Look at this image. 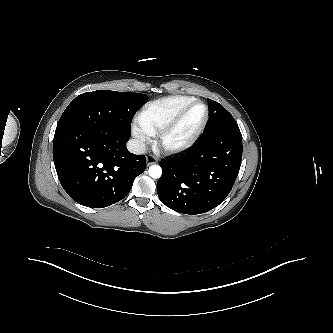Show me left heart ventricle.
I'll return each mask as SVG.
<instances>
[{"label":"left heart ventricle","instance_id":"obj_1","mask_svg":"<svg viewBox=\"0 0 333 333\" xmlns=\"http://www.w3.org/2000/svg\"><path fill=\"white\" fill-rule=\"evenodd\" d=\"M205 114L204 107L202 105H196L193 107L180 126L177 128V130L174 132V134L171 137V140L176 142L184 139L187 137L201 122Z\"/></svg>","mask_w":333,"mask_h":333}]
</instances>
